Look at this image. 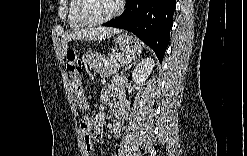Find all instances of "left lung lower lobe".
Listing matches in <instances>:
<instances>
[{"label": "left lung lower lobe", "instance_id": "1", "mask_svg": "<svg viewBox=\"0 0 247 156\" xmlns=\"http://www.w3.org/2000/svg\"><path fill=\"white\" fill-rule=\"evenodd\" d=\"M118 18L103 26L128 30L152 48L161 62L168 47L176 0H127Z\"/></svg>", "mask_w": 247, "mask_h": 156}]
</instances>
